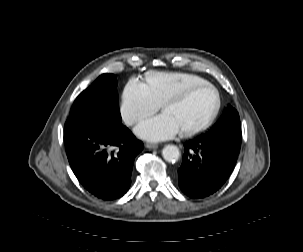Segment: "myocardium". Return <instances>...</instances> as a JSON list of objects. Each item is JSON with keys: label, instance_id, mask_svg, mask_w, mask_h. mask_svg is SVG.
<instances>
[{"label": "myocardium", "instance_id": "myocardium-1", "mask_svg": "<svg viewBox=\"0 0 303 252\" xmlns=\"http://www.w3.org/2000/svg\"><path fill=\"white\" fill-rule=\"evenodd\" d=\"M202 88H209L213 91V93L215 95L214 109H213L210 117L202 125H200L196 128H193V129H189V130H182L181 135L183 137L194 136V135H196L200 132L205 131L206 129H208L213 124V122L215 121V119H216V117L219 113L220 107H221V96H220V93H219L218 89L213 84H211L209 82H203V83H200V84L194 86L193 88L189 89L188 91H186L181 96H178V97H175V98H172V99L168 100L162 106V108L164 110H167L172 105L180 104V103L184 102L190 95H192L194 92H196L197 90L202 89Z\"/></svg>", "mask_w": 303, "mask_h": 252}]
</instances>
